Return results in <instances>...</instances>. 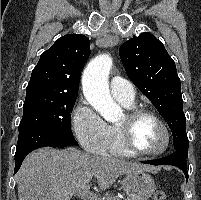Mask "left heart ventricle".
Wrapping results in <instances>:
<instances>
[{"label":"left heart ventricle","mask_w":201,"mask_h":200,"mask_svg":"<svg viewBox=\"0 0 201 200\" xmlns=\"http://www.w3.org/2000/svg\"><path fill=\"white\" fill-rule=\"evenodd\" d=\"M125 121V117L119 124ZM134 145L142 151H154L164 144V133L151 118L141 119L134 127L132 134Z\"/></svg>","instance_id":"obj_1"}]
</instances>
